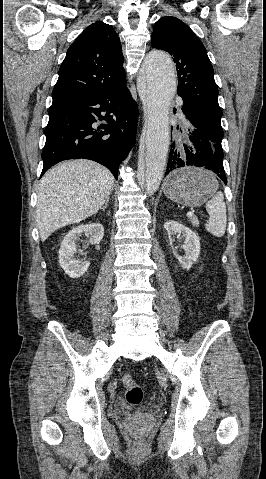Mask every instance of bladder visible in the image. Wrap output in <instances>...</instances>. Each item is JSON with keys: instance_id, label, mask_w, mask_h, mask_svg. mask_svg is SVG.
I'll return each mask as SVG.
<instances>
[{"instance_id": "obj_1", "label": "bladder", "mask_w": 266, "mask_h": 479, "mask_svg": "<svg viewBox=\"0 0 266 479\" xmlns=\"http://www.w3.org/2000/svg\"><path fill=\"white\" fill-rule=\"evenodd\" d=\"M150 409V406L149 405H145L143 407L140 408V411H148Z\"/></svg>"}]
</instances>
